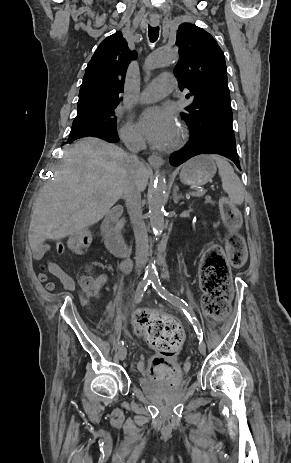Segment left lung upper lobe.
Listing matches in <instances>:
<instances>
[{
	"instance_id": "left-lung-upper-lobe-1",
	"label": "left lung upper lobe",
	"mask_w": 291,
	"mask_h": 463,
	"mask_svg": "<svg viewBox=\"0 0 291 463\" xmlns=\"http://www.w3.org/2000/svg\"><path fill=\"white\" fill-rule=\"evenodd\" d=\"M176 45L180 60L174 69L180 89L192 103L181 116L190 133H213L235 139L224 53L204 29L180 25Z\"/></svg>"
}]
</instances>
